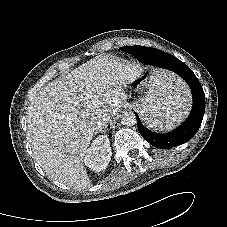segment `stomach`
Listing matches in <instances>:
<instances>
[{"mask_svg":"<svg viewBox=\"0 0 227 227\" xmlns=\"http://www.w3.org/2000/svg\"><path fill=\"white\" fill-rule=\"evenodd\" d=\"M111 91L114 93V94H120V89H117V88H113L111 89Z\"/></svg>","mask_w":227,"mask_h":227,"instance_id":"1","label":"stomach"}]
</instances>
